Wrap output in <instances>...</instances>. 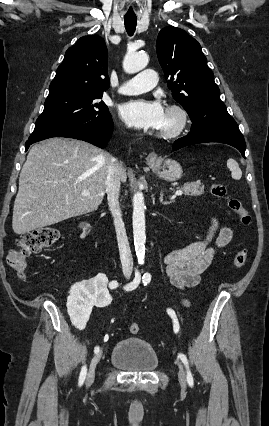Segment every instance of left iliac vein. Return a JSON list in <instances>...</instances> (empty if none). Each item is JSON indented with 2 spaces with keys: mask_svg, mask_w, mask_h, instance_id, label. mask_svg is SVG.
<instances>
[{
  "mask_svg": "<svg viewBox=\"0 0 269 426\" xmlns=\"http://www.w3.org/2000/svg\"><path fill=\"white\" fill-rule=\"evenodd\" d=\"M175 362L178 366L179 382H180L181 386L183 388H185L186 387V372H185V369H184L183 364L181 363V361L179 359H175Z\"/></svg>",
  "mask_w": 269,
  "mask_h": 426,
  "instance_id": "obj_1",
  "label": "left iliac vein"
}]
</instances>
